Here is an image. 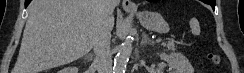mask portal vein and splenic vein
Wrapping results in <instances>:
<instances>
[{
  "mask_svg": "<svg viewBox=\"0 0 244 73\" xmlns=\"http://www.w3.org/2000/svg\"><path fill=\"white\" fill-rule=\"evenodd\" d=\"M161 41H162L161 38L156 39V42H157V43H160Z\"/></svg>",
  "mask_w": 244,
  "mask_h": 73,
  "instance_id": "18ae733b",
  "label": "portal vein and splenic vein"
}]
</instances>
